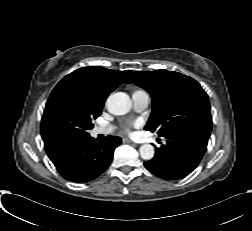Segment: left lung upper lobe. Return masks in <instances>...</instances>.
I'll return each mask as SVG.
<instances>
[{
    "instance_id": "5c2ea615",
    "label": "left lung upper lobe",
    "mask_w": 252,
    "mask_h": 231,
    "mask_svg": "<svg viewBox=\"0 0 252 231\" xmlns=\"http://www.w3.org/2000/svg\"><path fill=\"white\" fill-rule=\"evenodd\" d=\"M135 83L152 97V113L145 130L165 136L173 130L212 127L208 95L193 78L164 69L134 72L127 83Z\"/></svg>"
}]
</instances>
